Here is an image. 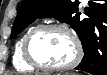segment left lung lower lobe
Masks as SVG:
<instances>
[{"instance_id":"0a47b994","label":"left lung lower lobe","mask_w":107,"mask_h":75,"mask_svg":"<svg viewBox=\"0 0 107 75\" xmlns=\"http://www.w3.org/2000/svg\"><path fill=\"white\" fill-rule=\"evenodd\" d=\"M88 4L87 13L92 20L81 35L84 57L75 69L92 75H107V39L101 40L96 35L99 22L107 23V1L90 0Z\"/></svg>"}]
</instances>
